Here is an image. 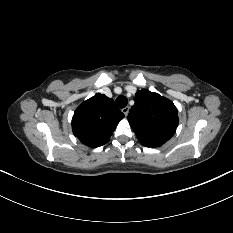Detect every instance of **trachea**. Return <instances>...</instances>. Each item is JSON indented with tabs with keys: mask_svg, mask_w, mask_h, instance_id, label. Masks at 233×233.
I'll return each instance as SVG.
<instances>
[{
	"mask_svg": "<svg viewBox=\"0 0 233 233\" xmlns=\"http://www.w3.org/2000/svg\"><path fill=\"white\" fill-rule=\"evenodd\" d=\"M127 103H128V99L123 95L116 98V104L119 108L126 107Z\"/></svg>",
	"mask_w": 233,
	"mask_h": 233,
	"instance_id": "trachea-1",
	"label": "trachea"
}]
</instances>
